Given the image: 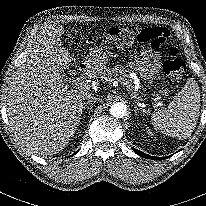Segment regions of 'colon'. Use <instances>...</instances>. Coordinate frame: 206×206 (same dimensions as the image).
<instances>
[{
    "label": "colon",
    "mask_w": 206,
    "mask_h": 206,
    "mask_svg": "<svg viewBox=\"0 0 206 206\" xmlns=\"http://www.w3.org/2000/svg\"><path fill=\"white\" fill-rule=\"evenodd\" d=\"M169 40V31L160 27H151L143 30H140L137 26L116 27L112 28L104 37L106 43L115 46H123L131 42H149L153 49L162 47ZM167 54L169 57L163 63V72L172 83L179 84L184 76L186 64L178 56L176 47H169Z\"/></svg>",
    "instance_id": "colon-1"
}]
</instances>
